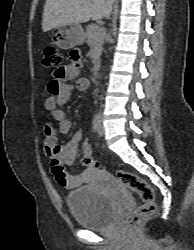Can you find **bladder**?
Segmentation results:
<instances>
[{
  "instance_id": "31cf9c89",
  "label": "bladder",
  "mask_w": 194,
  "mask_h": 250,
  "mask_svg": "<svg viewBox=\"0 0 194 250\" xmlns=\"http://www.w3.org/2000/svg\"><path fill=\"white\" fill-rule=\"evenodd\" d=\"M66 202L74 220L88 229H105L116 216L114 199L92 186H82L68 192Z\"/></svg>"
}]
</instances>
